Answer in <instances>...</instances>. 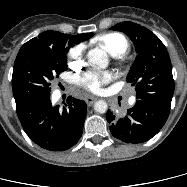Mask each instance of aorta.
I'll return each mask as SVG.
<instances>
[{
    "mask_svg": "<svg viewBox=\"0 0 187 187\" xmlns=\"http://www.w3.org/2000/svg\"><path fill=\"white\" fill-rule=\"evenodd\" d=\"M87 56H88V61L90 62V64L94 66H98L100 68H106L109 64V59H108L106 52L100 48L91 49L88 52ZM107 109H108V105L103 100H98L94 104V110L97 113L103 114L107 111Z\"/></svg>",
    "mask_w": 187,
    "mask_h": 187,
    "instance_id": "762f6f07",
    "label": "aorta"
}]
</instances>
